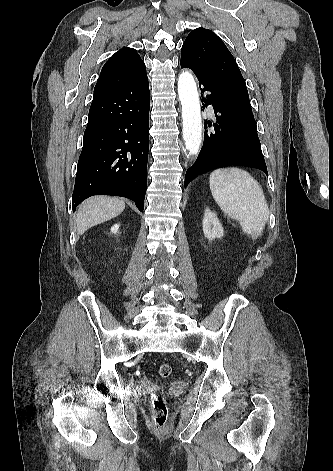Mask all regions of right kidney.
Masks as SVG:
<instances>
[{
  "label": "right kidney",
  "mask_w": 333,
  "mask_h": 471,
  "mask_svg": "<svg viewBox=\"0 0 333 471\" xmlns=\"http://www.w3.org/2000/svg\"><path fill=\"white\" fill-rule=\"evenodd\" d=\"M119 229V224H115L114 226L111 227V232L112 233H117Z\"/></svg>",
  "instance_id": "right-kidney-1"
}]
</instances>
